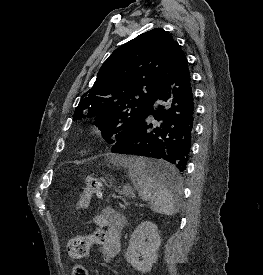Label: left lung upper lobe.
Here are the masks:
<instances>
[{"label": "left lung upper lobe", "instance_id": "1", "mask_svg": "<svg viewBox=\"0 0 263 275\" xmlns=\"http://www.w3.org/2000/svg\"><path fill=\"white\" fill-rule=\"evenodd\" d=\"M180 49L160 28L120 46L101 66L73 118L94 117L108 143L115 142L113 135L116 141L130 136L145 117L175 51Z\"/></svg>", "mask_w": 263, "mask_h": 275}]
</instances>
